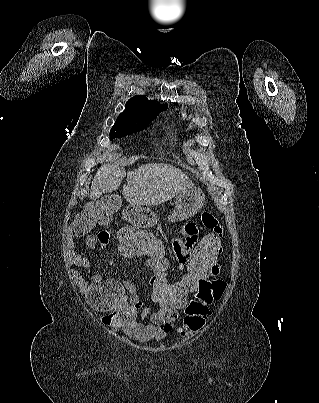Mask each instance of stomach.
Returning a JSON list of instances; mask_svg holds the SVG:
<instances>
[{
	"mask_svg": "<svg viewBox=\"0 0 319 403\" xmlns=\"http://www.w3.org/2000/svg\"><path fill=\"white\" fill-rule=\"evenodd\" d=\"M205 195L199 188L192 187L179 194L176 198L175 209L169 217L171 222L182 221L194 216L204 205ZM127 223L141 226L143 231L149 233L150 228L158 227L155 214L149 209L139 206H130L125 211Z\"/></svg>",
	"mask_w": 319,
	"mask_h": 403,
	"instance_id": "0dacf381",
	"label": "stomach"
}]
</instances>
